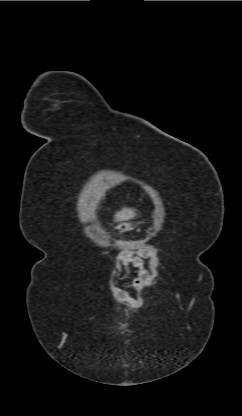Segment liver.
Returning <instances> with one entry per match:
<instances>
[{
	"instance_id": "liver-1",
	"label": "liver",
	"mask_w": 242,
	"mask_h": 416,
	"mask_svg": "<svg viewBox=\"0 0 242 416\" xmlns=\"http://www.w3.org/2000/svg\"><path fill=\"white\" fill-rule=\"evenodd\" d=\"M136 216L135 210L131 208H123L122 210L118 211L114 216V221L116 222H123L130 220Z\"/></svg>"
}]
</instances>
